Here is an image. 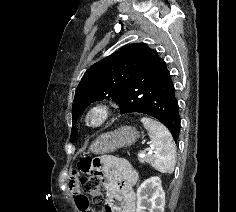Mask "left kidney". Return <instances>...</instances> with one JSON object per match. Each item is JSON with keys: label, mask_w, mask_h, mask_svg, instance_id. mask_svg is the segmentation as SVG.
I'll return each mask as SVG.
<instances>
[{"label": "left kidney", "mask_w": 236, "mask_h": 212, "mask_svg": "<svg viewBox=\"0 0 236 212\" xmlns=\"http://www.w3.org/2000/svg\"><path fill=\"white\" fill-rule=\"evenodd\" d=\"M165 193L159 177L146 179L137 189L136 212H164Z\"/></svg>", "instance_id": "1"}]
</instances>
